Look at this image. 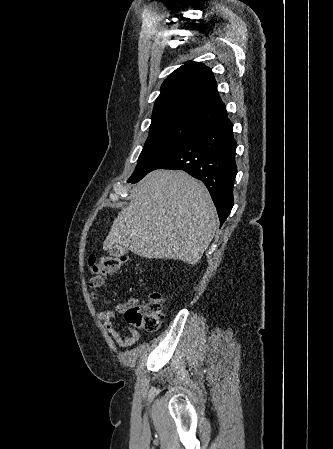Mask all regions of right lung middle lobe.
Returning <instances> with one entry per match:
<instances>
[{"label": "right lung middle lobe", "instance_id": "obj_1", "mask_svg": "<svg viewBox=\"0 0 333 449\" xmlns=\"http://www.w3.org/2000/svg\"><path fill=\"white\" fill-rule=\"evenodd\" d=\"M202 129L188 124H172L149 132L138 164L129 181L143 178L169 153Z\"/></svg>", "mask_w": 333, "mask_h": 449}]
</instances>
